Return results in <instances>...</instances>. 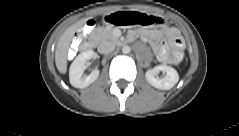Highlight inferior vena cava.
Masks as SVG:
<instances>
[{
	"mask_svg": "<svg viewBox=\"0 0 239 136\" xmlns=\"http://www.w3.org/2000/svg\"><path fill=\"white\" fill-rule=\"evenodd\" d=\"M114 49H115V44L110 41L101 42L97 48L98 52L101 54L110 53V52L114 51Z\"/></svg>",
	"mask_w": 239,
	"mask_h": 136,
	"instance_id": "1",
	"label": "inferior vena cava"
}]
</instances>
